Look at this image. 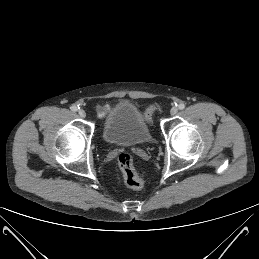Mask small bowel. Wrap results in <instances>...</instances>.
<instances>
[{"mask_svg": "<svg viewBox=\"0 0 259 259\" xmlns=\"http://www.w3.org/2000/svg\"><path fill=\"white\" fill-rule=\"evenodd\" d=\"M108 106H103V107H100L99 109H98V114H99V116H103L104 114H105V112L108 110Z\"/></svg>", "mask_w": 259, "mask_h": 259, "instance_id": "1", "label": "small bowel"}]
</instances>
